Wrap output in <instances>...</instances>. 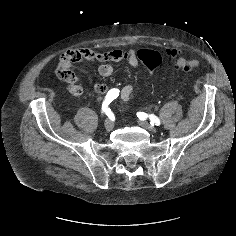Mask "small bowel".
I'll list each match as a JSON object with an SVG mask.
<instances>
[{"mask_svg":"<svg viewBox=\"0 0 236 236\" xmlns=\"http://www.w3.org/2000/svg\"><path fill=\"white\" fill-rule=\"evenodd\" d=\"M62 59H67L70 62V67L63 80L67 83L68 91L74 96L82 95L84 89L79 83L77 76L71 71L73 64L93 61L100 62L98 72L103 77H109L113 74L114 68L111 64L112 62L126 61L132 68H136L139 65L138 56L134 50H111L102 52L94 48L81 47L68 50L64 53ZM133 89L131 84L125 85L121 91V98L128 100L133 93ZM93 90L97 94H104L107 91V86L103 83H96L93 85Z\"/></svg>","mask_w":236,"mask_h":236,"instance_id":"obj_1","label":"small bowel"}]
</instances>
